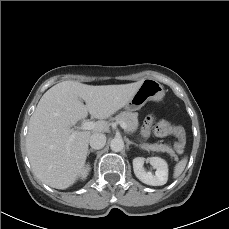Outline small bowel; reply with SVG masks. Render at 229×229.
<instances>
[{
	"mask_svg": "<svg viewBox=\"0 0 229 229\" xmlns=\"http://www.w3.org/2000/svg\"><path fill=\"white\" fill-rule=\"evenodd\" d=\"M143 134H147V129H144V130H143ZM175 148H176L177 151H179V150H178V147H177V144L175 145Z\"/></svg>",
	"mask_w": 229,
	"mask_h": 229,
	"instance_id": "c3829d8e",
	"label": "small bowel"
}]
</instances>
